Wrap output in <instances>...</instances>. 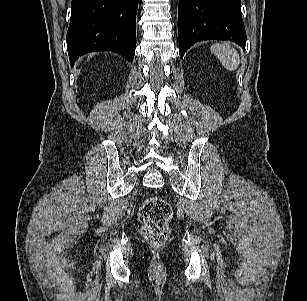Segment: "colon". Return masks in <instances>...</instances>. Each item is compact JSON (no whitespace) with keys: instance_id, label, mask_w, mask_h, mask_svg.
<instances>
[{"instance_id":"1","label":"colon","mask_w":307,"mask_h":301,"mask_svg":"<svg viewBox=\"0 0 307 301\" xmlns=\"http://www.w3.org/2000/svg\"><path fill=\"white\" fill-rule=\"evenodd\" d=\"M138 217L142 223L141 234L150 244L159 246L168 240L172 209L165 199L148 197L140 206Z\"/></svg>"}]
</instances>
